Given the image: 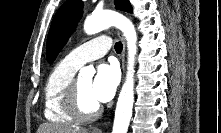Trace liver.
Instances as JSON below:
<instances>
[{
    "mask_svg": "<svg viewBox=\"0 0 221 133\" xmlns=\"http://www.w3.org/2000/svg\"><path fill=\"white\" fill-rule=\"evenodd\" d=\"M37 133H89V132L87 129H83L80 127L45 123L38 128Z\"/></svg>",
    "mask_w": 221,
    "mask_h": 133,
    "instance_id": "obj_1",
    "label": "liver"
}]
</instances>
